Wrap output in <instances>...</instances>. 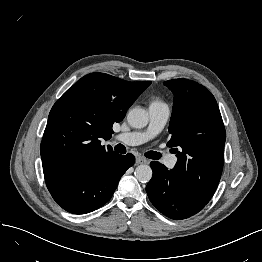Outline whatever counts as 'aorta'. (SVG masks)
Returning a JSON list of instances; mask_svg holds the SVG:
<instances>
[{
    "label": "aorta",
    "instance_id": "obj_1",
    "mask_svg": "<svg viewBox=\"0 0 262 262\" xmlns=\"http://www.w3.org/2000/svg\"><path fill=\"white\" fill-rule=\"evenodd\" d=\"M128 124L136 129L144 128L149 121L148 113L142 108H133L127 114ZM134 175L139 182L147 183L152 178V169L149 165L136 167Z\"/></svg>",
    "mask_w": 262,
    "mask_h": 262
}]
</instances>
